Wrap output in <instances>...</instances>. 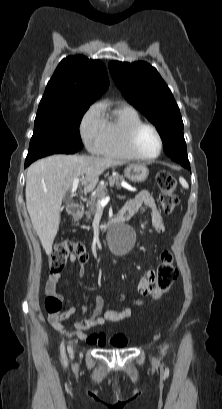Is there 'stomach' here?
Segmentation results:
<instances>
[{
  "instance_id": "obj_1",
  "label": "stomach",
  "mask_w": 222,
  "mask_h": 409,
  "mask_svg": "<svg viewBox=\"0 0 222 409\" xmlns=\"http://www.w3.org/2000/svg\"><path fill=\"white\" fill-rule=\"evenodd\" d=\"M125 176L133 182H142L149 175V169L144 164H130L124 170Z\"/></svg>"
}]
</instances>
